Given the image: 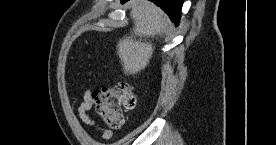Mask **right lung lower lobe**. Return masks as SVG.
<instances>
[{"label":"right lung lower lobe","mask_w":276,"mask_h":145,"mask_svg":"<svg viewBox=\"0 0 276 145\" xmlns=\"http://www.w3.org/2000/svg\"><path fill=\"white\" fill-rule=\"evenodd\" d=\"M128 0H121L122 3ZM160 6L170 17V19L178 25L181 15L183 0H151Z\"/></svg>","instance_id":"obj_1"}]
</instances>
